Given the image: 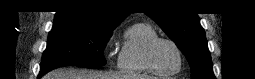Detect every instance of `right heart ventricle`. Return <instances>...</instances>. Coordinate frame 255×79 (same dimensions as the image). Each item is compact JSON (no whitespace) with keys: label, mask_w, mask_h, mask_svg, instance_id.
<instances>
[{"label":"right heart ventricle","mask_w":255,"mask_h":79,"mask_svg":"<svg viewBox=\"0 0 255 79\" xmlns=\"http://www.w3.org/2000/svg\"><path fill=\"white\" fill-rule=\"evenodd\" d=\"M156 37V30L147 23H135L129 27L119 52L120 71L133 75H153L145 62V49Z\"/></svg>","instance_id":"e07e8e85"}]
</instances>
